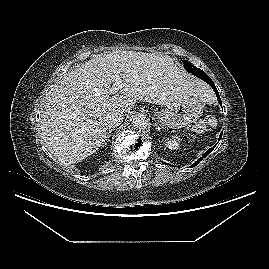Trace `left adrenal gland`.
Masks as SVG:
<instances>
[{
  "instance_id": "left-adrenal-gland-1",
  "label": "left adrenal gland",
  "mask_w": 269,
  "mask_h": 269,
  "mask_svg": "<svg viewBox=\"0 0 269 269\" xmlns=\"http://www.w3.org/2000/svg\"><path fill=\"white\" fill-rule=\"evenodd\" d=\"M154 126H155V128H156L158 131H160V130H161V128L158 126V124H157V123H155V124H154Z\"/></svg>"
}]
</instances>
